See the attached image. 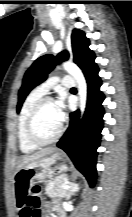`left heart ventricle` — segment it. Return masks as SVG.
<instances>
[{"label":"left heart ventricle","mask_w":132,"mask_h":217,"mask_svg":"<svg viewBox=\"0 0 132 217\" xmlns=\"http://www.w3.org/2000/svg\"><path fill=\"white\" fill-rule=\"evenodd\" d=\"M60 125L55 104L45 105L36 120V131L39 137L44 140L52 138L59 130Z\"/></svg>","instance_id":"b2bd125f"}]
</instances>
